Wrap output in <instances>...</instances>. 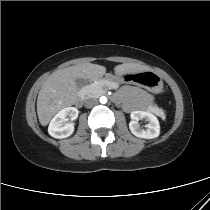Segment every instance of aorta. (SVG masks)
Returning <instances> with one entry per match:
<instances>
[{"instance_id": "1", "label": "aorta", "mask_w": 210, "mask_h": 210, "mask_svg": "<svg viewBox=\"0 0 210 210\" xmlns=\"http://www.w3.org/2000/svg\"><path fill=\"white\" fill-rule=\"evenodd\" d=\"M102 98H103V97H102ZM102 98L100 99V100H101V103H106L107 99H106V101H105V102H103V101H102Z\"/></svg>"}]
</instances>
